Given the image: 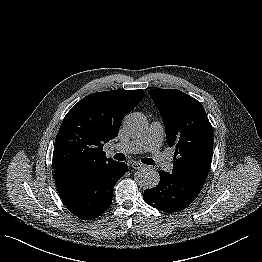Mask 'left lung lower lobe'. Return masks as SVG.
Returning a JSON list of instances; mask_svg holds the SVG:
<instances>
[{
	"instance_id": "obj_1",
	"label": "left lung lower lobe",
	"mask_w": 262,
	"mask_h": 262,
	"mask_svg": "<svg viewBox=\"0 0 262 262\" xmlns=\"http://www.w3.org/2000/svg\"><path fill=\"white\" fill-rule=\"evenodd\" d=\"M159 184L144 191V201L161 211L174 213L185 209L200 193L203 185L177 174L159 171Z\"/></svg>"
}]
</instances>
